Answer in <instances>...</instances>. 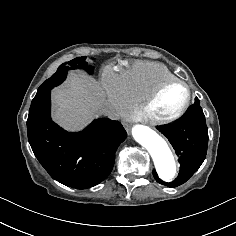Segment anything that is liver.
Wrapping results in <instances>:
<instances>
[{"mask_svg": "<svg viewBox=\"0 0 236 236\" xmlns=\"http://www.w3.org/2000/svg\"><path fill=\"white\" fill-rule=\"evenodd\" d=\"M54 118L66 128L82 126L105 104L100 85L81 73H70L67 83L53 91Z\"/></svg>", "mask_w": 236, "mask_h": 236, "instance_id": "obj_1", "label": "liver"}]
</instances>
